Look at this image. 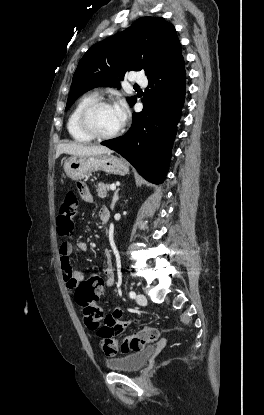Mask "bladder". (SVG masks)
<instances>
[{"mask_svg": "<svg viewBox=\"0 0 264 415\" xmlns=\"http://www.w3.org/2000/svg\"><path fill=\"white\" fill-rule=\"evenodd\" d=\"M155 352V346L149 345L136 352L126 353L116 359L106 361V366L115 371L138 372L148 362L149 358Z\"/></svg>", "mask_w": 264, "mask_h": 415, "instance_id": "obj_1", "label": "bladder"}]
</instances>
